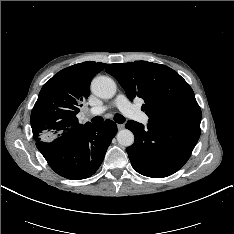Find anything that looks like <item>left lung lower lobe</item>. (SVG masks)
I'll use <instances>...</instances> for the list:
<instances>
[{
	"label": "left lung lower lobe",
	"instance_id": "obj_1",
	"mask_svg": "<svg viewBox=\"0 0 234 234\" xmlns=\"http://www.w3.org/2000/svg\"><path fill=\"white\" fill-rule=\"evenodd\" d=\"M125 127L135 135L127 148L133 168L153 178L169 176L189 159L200 137L198 123H148L128 121Z\"/></svg>",
	"mask_w": 234,
	"mask_h": 234
}]
</instances>
